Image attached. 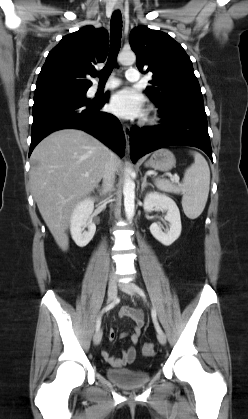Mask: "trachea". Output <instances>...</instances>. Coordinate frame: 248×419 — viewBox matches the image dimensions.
Instances as JSON below:
<instances>
[{"mask_svg": "<svg viewBox=\"0 0 248 419\" xmlns=\"http://www.w3.org/2000/svg\"><path fill=\"white\" fill-rule=\"evenodd\" d=\"M122 34V16L119 10L113 12L110 22V51L105 67L94 76H98L100 82H106L116 64L117 54L120 49Z\"/></svg>", "mask_w": 248, "mask_h": 419, "instance_id": "obj_1", "label": "trachea"}]
</instances>
